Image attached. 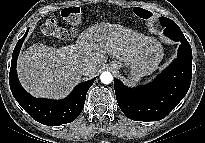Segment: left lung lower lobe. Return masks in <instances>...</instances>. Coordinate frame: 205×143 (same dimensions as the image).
I'll return each instance as SVG.
<instances>
[{
	"label": "left lung lower lobe",
	"mask_w": 205,
	"mask_h": 143,
	"mask_svg": "<svg viewBox=\"0 0 205 143\" xmlns=\"http://www.w3.org/2000/svg\"><path fill=\"white\" fill-rule=\"evenodd\" d=\"M164 34L181 42L177 58L153 82L127 88L114 79L115 94L122 112L135 121H158L165 118L184 98L191 84L192 50L180 28L165 27Z\"/></svg>",
	"instance_id": "1"
}]
</instances>
